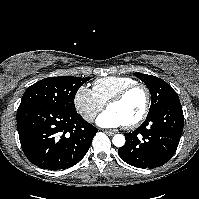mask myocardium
<instances>
[{"label": "myocardium", "mask_w": 199, "mask_h": 199, "mask_svg": "<svg viewBox=\"0 0 199 199\" xmlns=\"http://www.w3.org/2000/svg\"><path fill=\"white\" fill-rule=\"evenodd\" d=\"M135 89H141L144 91L145 104L141 115L133 122L124 125L126 129H132L139 126L148 116L151 107V93L149 88L145 84L135 82L133 84L124 87L107 102V108H108L110 105L114 103L121 102L131 91Z\"/></svg>", "instance_id": "obj_1"}]
</instances>
